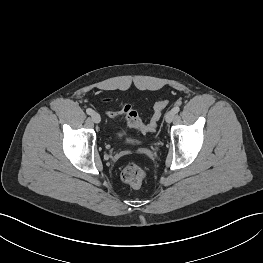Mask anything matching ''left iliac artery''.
Masks as SVG:
<instances>
[{"instance_id":"obj_1","label":"left iliac artery","mask_w":263,"mask_h":263,"mask_svg":"<svg viewBox=\"0 0 263 263\" xmlns=\"http://www.w3.org/2000/svg\"><path fill=\"white\" fill-rule=\"evenodd\" d=\"M179 110H180L179 106H175V107L173 108V111H174L175 113H178Z\"/></svg>"}]
</instances>
